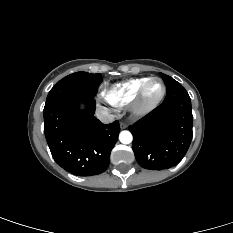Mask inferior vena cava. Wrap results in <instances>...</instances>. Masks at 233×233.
<instances>
[{
  "label": "inferior vena cava",
  "mask_w": 233,
  "mask_h": 233,
  "mask_svg": "<svg viewBox=\"0 0 233 233\" xmlns=\"http://www.w3.org/2000/svg\"><path fill=\"white\" fill-rule=\"evenodd\" d=\"M96 117L105 124L112 123L114 121V116L105 110L96 111Z\"/></svg>",
  "instance_id": "obj_1"
}]
</instances>
